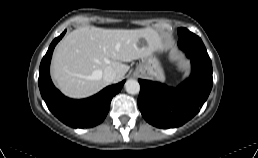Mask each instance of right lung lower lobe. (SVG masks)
Here are the masks:
<instances>
[{"label":"right lung lower lobe","instance_id":"obj_1","mask_svg":"<svg viewBox=\"0 0 258 158\" xmlns=\"http://www.w3.org/2000/svg\"><path fill=\"white\" fill-rule=\"evenodd\" d=\"M64 31L50 44L39 68V89L48 109L63 123L74 128H88L100 124L106 117L114 95L122 89L125 82L108 86L98 94L82 100L65 97L57 90L49 74V66L54 47L64 36Z\"/></svg>","mask_w":258,"mask_h":158}]
</instances>
